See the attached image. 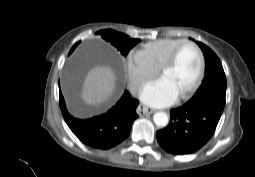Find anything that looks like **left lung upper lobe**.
Wrapping results in <instances>:
<instances>
[{
  "label": "left lung upper lobe",
  "instance_id": "obj_1",
  "mask_svg": "<svg viewBox=\"0 0 255 177\" xmlns=\"http://www.w3.org/2000/svg\"><path fill=\"white\" fill-rule=\"evenodd\" d=\"M203 51L206 62V76L195 95L188 101L197 104L206 100L218 101L225 105L226 76L222 64L217 55L205 44L197 42Z\"/></svg>",
  "mask_w": 255,
  "mask_h": 177
}]
</instances>
